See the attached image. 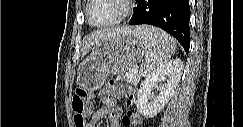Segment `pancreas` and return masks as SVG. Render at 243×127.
<instances>
[{
    "instance_id": "cf45deb5",
    "label": "pancreas",
    "mask_w": 243,
    "mask_h": 127,
    "mask_svg": "<svg viewBox=\"0 0 243 127\" xmlns=\"http://www.w3.org/2000/svg\"><path fill=\"white\" fill-rule=\"evenodd\" d=\"M127 81L136 86L139 83V77H137L133 74H130L127 78Z\"/></svg>"
}]
</instances>
